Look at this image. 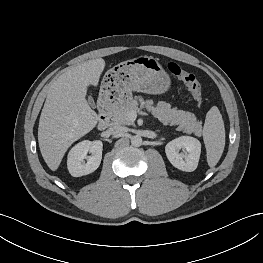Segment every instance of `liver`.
Masks as SVG:
<instances>
[{
  "mask_svg": "<svg viewBox=\"0 0 263 263\" xmlns=\"http://www.w3.org/2000/svg\"><path fill=\"white\" fill-rule=\"evenodd\" d=\"M105 60L97 58L68 68L50 86L42 109L38 143L48 167L58 169L71 144L98 123V115L86 100L88 86H97Z\"/></svg>",
  "mask_w": 263,
  "mask_h": 263,
  "instance_id": "1",
  "label": "liver"
}]
</instances>
